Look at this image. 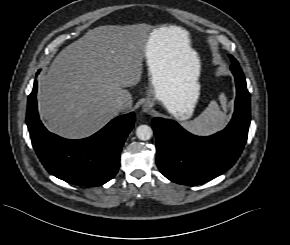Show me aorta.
I'll use <instances>...</instances> for the list:
<instances>
[{
	"label": "aorta",
	"mask_w": 290,
	"mask_h": 245,
	"mask_svg": "<svg viewBox=\"0 0 290 245\" xmlns=\"http://www.w3.org/2000/svg\"><path fill=\"white\" fill-rule=\"evenodd\" d=\"M136 135H137L138 139H140L142 141H147L152 137L153 130L148 125H140L136 129Z\"/></svg>",
	"instance_id": "aorta-1"
}]
</instances>
